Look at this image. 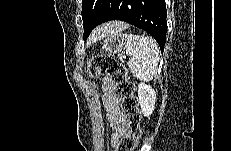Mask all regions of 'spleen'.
<instances>
[{
	"instance_id": "1",
	"label": "spleen",
	"mask_w": 231,
	"mask_h": 151,
	"mask_svg": "<svg viewBox=\"0 0 231 151\" xmlns=\"http://www.w3.org/2000/svg\"><path fill=\"white\" fill-rule=\"evenodd\" d=\"M124 50L129 57L127 65L133 76L143 81L152 80L160 60L157 42L149 36L128 34Z\"/></svg>"
}]
</instances>
